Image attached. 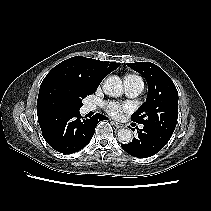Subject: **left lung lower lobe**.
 Segmentation results:
<instances>
[{
  "label": "left lung lower lobe",
  "instance_id": "1",
  "mask_svg": "<svg viewBox=\"0 0 211 211\" xmlns=\"http://www.w3.org/2000/svg\"><path fill=\"white\" fill-rule=\"evenodd\" d=\"M170 138L153 128L144 126L142 129H139L137 127V136L132 142L122 144L121 147L134 157L147 158L158 153Z\"/></svg>",
  "mask_w": 211,
  "mask_h": 211
}]
</instances>
